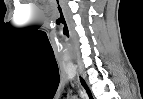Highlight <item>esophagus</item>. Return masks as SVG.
I'll return each mask as SVG.
<instances>
[{
	"label": "esophagus",
	"mask_w": 143,
	"mask_h": 99,
	"mask_svg": "<svg viewBox=\"0 0 143 99\" xmlns=\"http://www.w3.org/2000/svg\"><path fill=\"white\" fill-rule=\"evenodd\" d=\"M78 82H79L81 89L83 90L85 94V98L94 99V94L92 92V89L90 85L88 84L85 76L81 72L78 73Z\"/></svg>",
	"instance_id": "esophagus-1"
}]
</instances>
